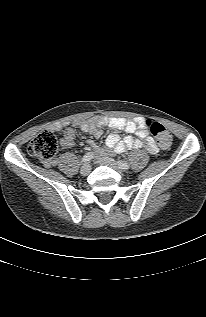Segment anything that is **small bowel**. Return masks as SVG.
Instances as JSON below:
<instances>
[{
  "instance_id": "c3829d8e",
  "label": "small bowel",
  "mask_w": 206,
  "mask_h": 317,
  "mask_svg": "<svg viewBox=\"0 0 206 317\" xmlns=\"http://www.w3.org/2000/svg\"><path fill=\"white\" fill-rule=\"evenodd\" d=\"M143 118H135L132 120L118 117L98 116L89 120L76 122L74 125L81 131L92 134L95 138L102 135L103 128L111 130L110 135L106 139V145L113 153H123L129 149L145 148L150 154H156L158 147L152 137L148 135V131ZM125 131L129 135L120 138L118 132ZM135 134L137 137H134ZM97 154H105L106 151L100 148L93 140H87ZM74 144L73 131L68 130L60 141L62 148L67 149ZM57 162H47V166H55Z\"/></svg>"
}]
</instances>
